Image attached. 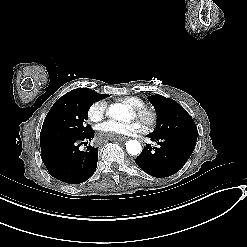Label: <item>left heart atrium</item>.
Segmentation results:
<instances>
[{"label":"left heart atrium","mask_w":247,"mask_h":247,"mask_svg":"<svg viewBox=\"0 0 247 247\" xmlns=\"http://www.w3.org/2000/svg\"><path fill=\"white\" fill-rule=\"evenodd\" d=\"M139 125L136 122L133 123H117L113 121H107L98 126L95 134V142L101 144L110 140L117 139L118 135H130L137 132Z\"/></svg>","instance_id":"left-heart-atrium-1"}]
</instances>
